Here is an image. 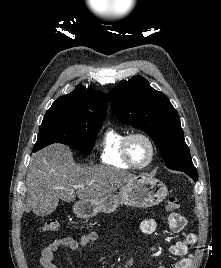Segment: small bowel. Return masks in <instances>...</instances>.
I'll list each match as a JSON object with an SVG mask.
<instances>
[{"label": "small bowel", "instance_id": "small-bowel-1", "mask_svg": "<svg viewBox=\"0 0 221 268\" xmlns=\"http://www.w3.org/2000/svg\"><path fill=\"white\" fill-rule=\"evenodd\" d=\"M186 219L178 214L171 213L168 217L167 224L172 232H181L186 226ZM140 229L145 234H152L157 229V222L152 219H144L140 224ZM98 239V235L95 232H88L75 238L72 236H64L56 239L50 245L45 247L40 256V264L43 268H57L55 262V254L59 252L62 248L68 247L72 250L78 248L86 247L89 244L95 242ZM196 237L194 234H188L185 239L176 241L172 243L168 251L174 257H184L176 264L173 268H190L192 264V255L190 253V248L194 245ZM158 268H166L160 265Z\"/></svg>", "mask_w": 221, "mask_h": 268}]
</instances>
